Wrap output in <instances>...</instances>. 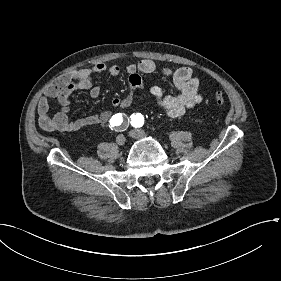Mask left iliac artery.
Listing matches in <instances>:
<instances>
[{
    "instance_id": "1",
    "label": "left iliac artery",
    "mask_w": 281,
    "mask_h": 281,
    "mask_svg": "<svg viewBox=\"0 0 281 281\" xmlns=\"http://www.w3.org/2000/svg\"><path fill=\"white\" fill-rule=\"evenodd\" d=\"M130 123L133 127H141L144 124V117L140 113L132 114L130 116Z\"/></svg>"
}]
</instances>
